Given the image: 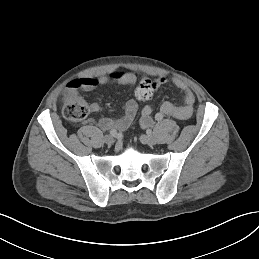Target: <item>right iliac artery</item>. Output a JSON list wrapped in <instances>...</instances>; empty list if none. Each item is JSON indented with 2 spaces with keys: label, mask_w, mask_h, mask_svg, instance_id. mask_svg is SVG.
<instances>
[{
  "label": "right iliac artery",
  "mask_w": 259,
  "mask_h": 259,
  "mask_svg": "<svg viewBox=\"0 0 259 259\" xmlns=\"http://www.w3.org/2000/svg\"><path fill=\"white\" fill-rule=\"evenodd\" d=\"M110 134L113 136V137H116L117 136V132L115 130H111L110 131Z\"/></svg>",
  "instance_id": "82829eb1"
}]
</instances>
